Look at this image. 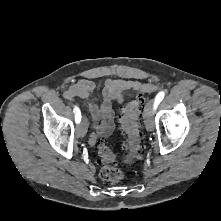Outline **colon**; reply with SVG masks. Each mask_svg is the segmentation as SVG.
<instances>
[{
	"mask_svg": "<svg viewBox=\"0 0 221 221\" xmlns=\"http://www.w3.org/2000/svg\"><path fill=\"white\" fill-rule=\"evenodd\" d=\"M144 108V98L136 97L123 110L120 118L121 128L125 140L122 144L124 151V161L133 162L138 160L143 150V133L140 129V122ZM98 153L100 162V177L107 182H118L124 177V173L116 164L115 154L108 148L104 140L98 141Z\"/></svg>",
	"mask_w": 221,
	"mask_h": 221,
	"instance_id": "obj_1",
	"label": "colon"
}]
</instances>
